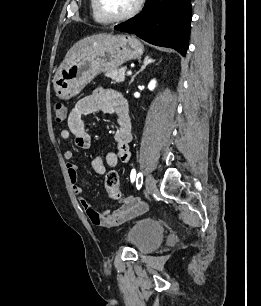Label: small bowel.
Returning a JSON list of instances; mask_svg holds the SVG:
<instances>
[{"label": "small bowel", "mask_w": 261, "mask_h": 306, "mask_svg": "<svg viewBox=\"0 0 261 306\" xmlns=\"http://www.w3.org/2000/svg\"><path fill=\"white\" fill-rule=\"evenodd\" d=\"M95 112H104L112 115L117 124L114 134L115 151H109L93 158L91 166L99 174L106 173V166L114 168L119 162L127 163L131 158L129 144L132 140L131 121L128 105L124 96L109 89H98L94 93L82 98L71 110L67 118V128L62 129L60 137L63 140L74 138L75 145L81 149L91 146V137L88 133L83 117ZM75 151L68 149L64 152L69 180L79 202L89 220L97 226L114 227L146 210V205L136 196L128 195L123 205L114 211H99L83 197V189L78 183V167L73 163Z\"/></svg>", "instance_id": "small-bowel-1"}]
</instances>
